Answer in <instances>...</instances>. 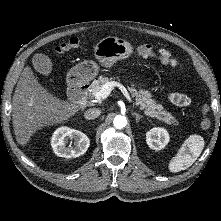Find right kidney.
<instances>
[{"label":"right kidney","instance_id":"right-kidney-1","mask_svg":"<svg viewBox=\"0 0 221 221\" xmlns=\"http://www.w3.org/2000/svg\"><path fill=\"white\" fill-rule=\"evenodd\" d=\"M69 140H74V146L68 145ZM89 145V138L83 132L68 127L58 128L51 139L54 153L64 158H75L83 155Z\"/></svg>","mask_w":221,"mask_h":221}]
</instances>
